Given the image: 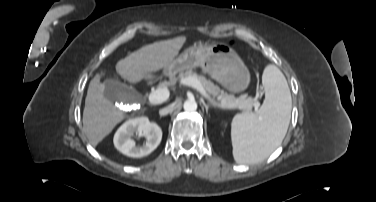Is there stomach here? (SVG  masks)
Here are the masks:
<instances>
[{"instance_id":"stomach-1","label":"stomach","mask_w":376,"mask_h":202,"mask_svg":"<svg viewBox=\"0 0 376 202\" xmlns=\"http://www.w3.org/2000/svg\"><path fill=\"white\" fill-rule=\"evenodd\" d=\"M195 67L209 74L226 89L239 92L248 84L249 71L238 54L226 43L193 45L164 68L171 78Z\"/></svg>"}]
</instances>
